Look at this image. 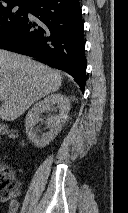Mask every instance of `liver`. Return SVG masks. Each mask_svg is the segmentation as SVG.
Wrapping results in <instances>:
<instances>
[{"mask_svg":"<svg viewBox=\"0 0 128 213\" xmlns=\"http://www.w3.org/2000/svg\"><path fill=\"white\" fill-rule=\"evenodd\" d=\"M62 83L59 71L30 57L0 49V118L13 121L35 101L56 92Z\"/></svg>","mask_w":128,"mask_h":213,"instance_id":"6515ba94","label":"liver"}]
</instances>
